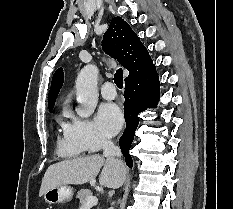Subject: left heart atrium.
Wrapping results in <instances>:
<instances>
[{
	"instance_id": "obj_1",
	"label": "left heart atrium",
	"mask_w": 233,
	"mask_h": 209,
	"mask_svg": "<svg viewBox=\"0 0 233 209\" xmlns=\"http://www.w3.org/2000/svg\"><path fill=\"white\" fill-rule=\"evenodd\" d=\"M96 121L101 133L111 137L122 127L123 116L116 104L104 103L99 107Z\"/></svg>"
}]
</instances>
